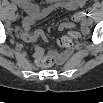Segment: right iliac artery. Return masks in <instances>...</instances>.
<instances>
[{
  "mask_svg": "<svg viewBox=\"0 0 103 103\" xmlns=\"http://www.w3.org/2000/svg\"><path fill=\"white\" fill-rule=\"evenodd\" d=\"M10 9H11L12 11H16V10H17L16 6H14V5H12Z\"/></svg>",
  "mask_w": 103,
  "mask_h": 103,
  "instance_id": "82829eb1",
  "label": "right iliac artery"
}]
</instances>
